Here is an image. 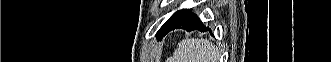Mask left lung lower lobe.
I'll list each match as a JSON object with an SVG mask.
<instances>
[{
	"instance_id": "left-lung-lower-lobe-1",
	"label": "left lung lower lobe",
	"mask_w": 331,
	"mask_h": 62,
	"mask_svg": "<svg viewBox=\"0 0 331 62\" xmlns=\"http://www.w3.org/2000/svg\"><path fill=\"white\" fill-rule=\"evenodd\" d=\"M185 29L187 31H192L198 29L209 30V28L204 27L203 23L197 18V16L192 13L191 9H184L177 11L166 23L164 27L163 36H165L168 32L174 29ZM162 36V37H163ZM161 37V38H162ZM160 38V39H161Z\"/></svg>"
}]
</instances>
